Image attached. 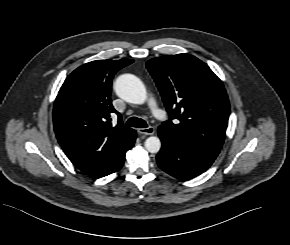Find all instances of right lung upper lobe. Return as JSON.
Masks as SVG:
<instances>
[{"mask_svg": "<svg viewBox=\"0 0 290 245\" xmlns=\"http://www.w3.org/2000/svg\"><path fill=\"white\" fill-rule=\"evenodd\" d=\"M131 59L97 60L74 70L56 97L53 124L56 137L70 161L84 173L100 178L114 172L136 139L113 108L110 92L115 73ZM118 114L116 126L111 114Z\"/></svg>", "mask_w": 290, "mask_h": 245, "instance_id": "right-lung-upper-lobe-1", "label": "right lung upper lobe"}]
</instances>
